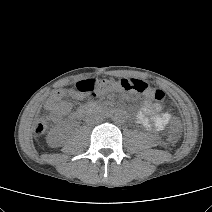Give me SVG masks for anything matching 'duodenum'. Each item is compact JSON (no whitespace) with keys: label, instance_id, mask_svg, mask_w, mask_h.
Instances as JSON below:
<instances>
[{"label":"duodenum","instance_id":"1","mask_svg":"<svg viewBox=\"0 0 212 212\" xmlns=\"http://www.w3.org/2000/svg\"><path fill=\"white\" fill-rule=\"evenodd\" d=\"M95 109L102 110V108L100 106L95 105V104H89V105H86L84 107H81V108L78 109V111L76 113V118H81L88 111L95 110Z\"/></svg>","mask_w":212,"mask_h":212}]
</instances>
